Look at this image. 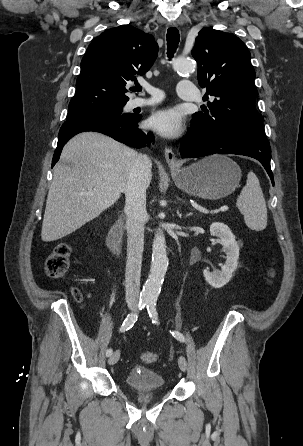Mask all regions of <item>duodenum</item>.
I'll use <instances>...</instances> for the list:
<instances>
[{"instance_id":"duodenum-1","label":"duodenum","mask_w":303,"mask_h":446,"mask_svg":"<svg viewBox=\"0 0 303 446\" xmlns=\"http://www.w3.org/2000/svg\"><path fill=\"white\" fill-rule=\"evenodd\" d=\"M123 221L119 220L109 231L107 236V245L109 249L118 254L120 251L121 238H122Z\"/></svg>"}]
</instances>
